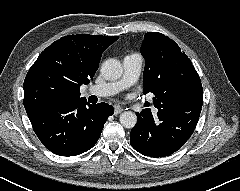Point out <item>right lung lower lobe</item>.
<instances>
[{
	"mask_svg": "<svg viewBox=\"0 0 240 191\" xmlns=\"http://www.w3.org/2000/svg\"><path fill=\"white\" fill-rule=\"evenodd\" d=\"M34 132L44 146L60 156H76L91 149L114 112L107 103L85 99L41 103L26 108Z\"/></svg>",
	"mask_w": 240,
	"mask_h": 191,
	"instance_id": "98d812e1",
	"label": "right lung lower lobe"
}]
</instances>
